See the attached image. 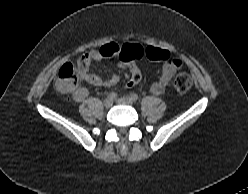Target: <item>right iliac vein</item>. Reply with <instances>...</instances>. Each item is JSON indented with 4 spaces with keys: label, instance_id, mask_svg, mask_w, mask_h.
<instances>
[{
    "label": "right iliac vein",
    "instance_id": "obj_1",
    "mask_svg": "<svg viewBox=\"0 0 248 194\" xmlns=\"http://www.w3.org/2000/svg\"><path fill=\"white\" fill-rule=\"evenodd\" d=\"M112 105H113V101L110 98L105 99L104 106L106 108H110V107H112Z\"/></svg>",
    "mask_w": 248,
    "mask_h": 194
}]
</instances>
